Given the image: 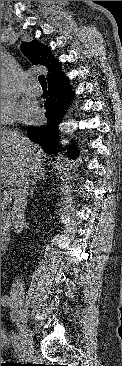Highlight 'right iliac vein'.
I'll return each mask as SVG.
<instances>
[{
  "label": "right iliac vein",
  "instance_id": "obj_1",
  "mask_svg": "<svg viewBox=\"0 0 122 366\" xmlns=\"http://www.w3.org/2000/svg\"><path fill=\"white\" fill-rule=\"evenodd\" d=\"M12 318L19 327L20 334L23 339L22 346L26 350L24 353L29 355L34 351V348L31 341V331L27 322L25 321L24 314L18 309V307H13Z\"/></svg>",
  "mask_w": 122,
  "mask_h": 366
}]
</instances>
